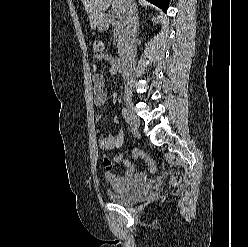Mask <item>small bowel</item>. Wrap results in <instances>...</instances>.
<instances>
[{"label":"small bowel","mask_w":248,"mask_h":247,"mask_svg":"<svg viewBox=\"0 0 248 247\" xmlns=\"http://www.w3.org/2000/svg\"><path fill=\"white\" fill-rule=\"evenodd\" d=\"M98 61H104L110 66V73L117 74L119 71V61L112 55L107 53H95L93 56V70L94 74L92 76V86H93V102L96 107H101L105 104L107 100V93L105 88V78L98 72ZM101 121V115L95 116V122ZM116 122V119H114ZM124 133L119 132L117 134H110L106 136H101L99 140V146L104 152L103 154V165L106 170V178L111 182L113 187L117 189H127L132 186L142 184L147 180V174L145 172L137 173L133 178H131L134 168L132 164L123 158L121 154H115L113 156L109 155L112 150L119 149L124 142ZM122 162L126 167V173L124 176H117L114 173V163Z\"/></svg>","instance_id":"small-bowel-1"}]
</instances>
